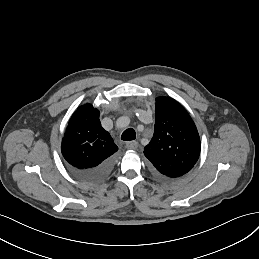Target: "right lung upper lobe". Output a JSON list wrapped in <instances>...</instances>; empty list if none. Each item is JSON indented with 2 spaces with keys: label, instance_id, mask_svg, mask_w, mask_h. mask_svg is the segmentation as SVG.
Returning <instances> with one entry per match:
<instances>
[{
  "label": "right lung upper lobe",
  "instance_id": "right-lung-upper-lobe-1",
  "mask_svg": "<svg viewBox=\"0 0 259 259\" xmlns=\"http://www.w3.org/2000/svg\"><path fill=\"white\" fill-rule=\"evenodd\" d=\"M118 147L101 126L99 111L91 104L82 105L71 117L62 139L65 160L78 169H89L113 157Z\"/></svg>",
  "mask_w": 259,
  "mask_h": 259
}]
</instances>
